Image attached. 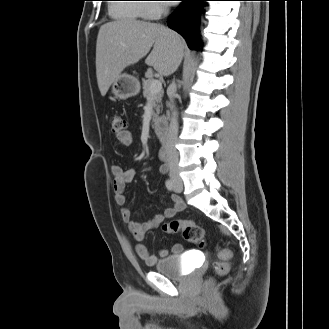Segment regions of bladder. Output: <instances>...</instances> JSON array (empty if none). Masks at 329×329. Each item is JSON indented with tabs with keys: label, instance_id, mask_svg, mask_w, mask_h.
Masks as SVG:
<instances>
[{
	"label": "bladder",
	"instance_id": "bladder-1",
	"mask_svg": "<svg viewBox=\"0 0 329 329\" xmlns=\"http://www.w3.org/2000/svg\"><path fill=\"white\" fill-rule=\"evenodd\" d=\"M154 270L170 279H181L186 275L183 258L178 255L159 258L154 264Z\"/></svg>",
	"mask_w": 329,
	"mask_h": 329
}]
</instances>
